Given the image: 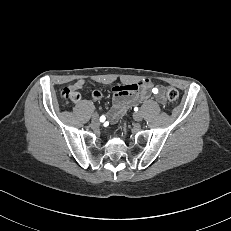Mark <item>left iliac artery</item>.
I'll use <instances>...</instances> for the list:
<instances>
[{
  "label": "left iliac artery",
  "mask_w": 231,
  "mask_h": 231,
  "mask_svg": "<svg viewBox=\"0 0 231 231\" xmlns=\"http://www.w3.org/2000/svg\"><path fill=\"white\" fill-rule=\"evenodd\" d=\"M152 92H153L154 94H157V93H158V89H157V88H153V89H152Z\"/></svg>",
  "instance_id": "obj_1"
}]
</instances>
